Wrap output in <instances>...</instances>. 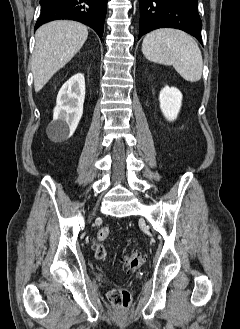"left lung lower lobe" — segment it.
Masks as SVG:
<instances>
[{"label": "left lung lower lobe", "instance_id": "obj_1", "mask_svg": "<svg viewBox=\"0 0 240 329\" xmlns=\"http://www.w3.org/2000/svg\"><path fill=\"white\" fill-rule=\"evenodd\" d=\"M139 38L151 30L171 27L183 30L202 43L198 0H139Z\"/></svg>", "mask_w": 240, "mask_h": 329}]
</instances>
